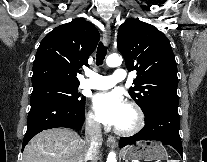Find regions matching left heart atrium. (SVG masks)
Listing matches in <instances>:
<instances>
[{
	"label": "left heart atrium",
	"mask_w": 207,
	"mask_h": 162,
	"mask_svg": "<svg viewBox=\"0 0 207 162\" xmlns=\"http://www.w3.org/2000/svg\"><path fill=\"white\" fill-rule=\"evenodd\" d=\"M92 103L99 121L112 126H116L126 105L117 91L98 93L93 97Z\"/></svg>",
	"instance_id": "1"
}]
</instances>
